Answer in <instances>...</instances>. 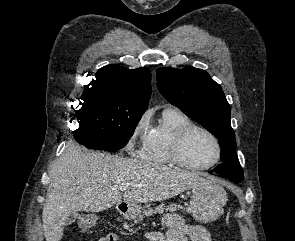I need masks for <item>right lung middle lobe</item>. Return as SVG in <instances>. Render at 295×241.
<instances>
[{"instance_id": "dd1d6c3e", "label": "right lung middle lobe", "mask_w": 295, "mask_h": 241, "mask_svg": "<svg viewBox=\"0 0 295 241\" xmlns=\"http://www.w3.org/2000/svg\"><path fill=\"white\" fill-rule=\"evenodd\" d=\"M81 100L75 110L78 127L73 135L78 143L95 150L124 147L146 110L102 92H90Z\"/></svg>"}]
</instances>
